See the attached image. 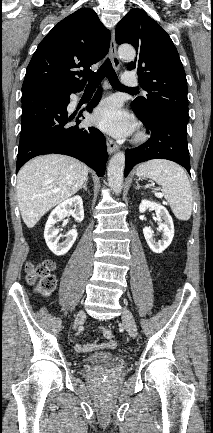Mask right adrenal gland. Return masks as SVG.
<instances>
[{"label": "right adrenal gland", "mask_w": 213, "mask_h": 433, "mask_svg": "<svg viewBox=\"0 0 213 433\" xmlns=\"http://www.w3.org/2000/svg\"><path fill=\"white\" fill-rule=\"evenodd\" d=\"M87 181H88V180L85 181V183H84L83 186L80 188V190L83 189V190L87 191Z\"/></svg>", "instance_id": "obj_1"}]
</instances>
